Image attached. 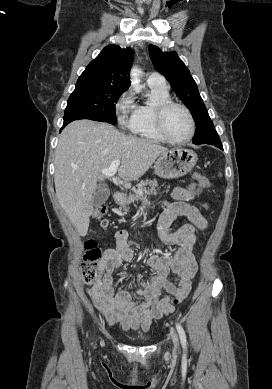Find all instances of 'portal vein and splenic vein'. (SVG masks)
Returning a JSON list of instances; mask_svg holds the SVG:
<instances>
[{
    "instance_id": "18ae733b",
    "label": "portal vein and splenic vein",
    "mask_w": 272,
    "mask_h": 389,
    "mask_svg": "<svg viewBox=\"0 0 272 389\" xmlns=\"http://www.w3.org/2000/svg\"><path fill=\"white\" fill-rule=\"evenodd\" d=\"M120 162H121L120 160H115V161H113V162L111 163V165H110L108 168L103 169V170L101 171V173H102L104 176H106V177L114 176L115 173H116V171H117V169H118V167H119V165H120ZM138 193H141V192H138Z\"/></svg>"
}]
</instances>
